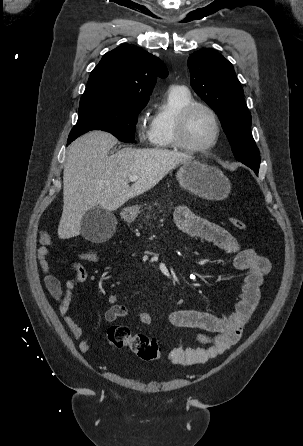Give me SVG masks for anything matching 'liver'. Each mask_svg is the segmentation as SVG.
Returning a JSON list of instances; mask_svg holds the SVG:
<instances>
[{
	"label": "liver",
	"mask_w": 303,
	"mask_h": 446,
	"mask_svg": "<svg viewBox=\"0 0 303 446\" xmlns=\"http://www.w3.org/2000/svg\"><path fill=\"white\" fill-rule=\"evenodd\" d=\"M116 143L113 135L92 131L69 146L63 173L60 239L80 234L81 220L88 210L100 206L114 211L153 188L177 165L192 160L190 155L180 152L131 147L109 156ZM132 175L138 179L129 186Z\"/></svg>",
	"instance_id": "obj_1"
}]
</instances>
